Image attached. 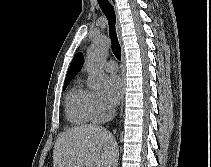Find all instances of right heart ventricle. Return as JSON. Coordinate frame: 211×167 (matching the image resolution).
Returning <instances> with one entry per match:
<instances>
[{"instance_id": "right-heart-ventricle-1", "label": "right heart ventricle", "mask_w": 211, "mask_h": 167, "mask_svg": "<svg viewBox=\"0 0 211 167\" xmlns=\"http://www.w3.org/2000/svg\"><path fill=\"white\" fill-rule=\"evenodd\" d=\"M66 116L76 124L94 120L89 104V91L80 83L75 84L66 96Z\"/></svg>"}]
</instances>
